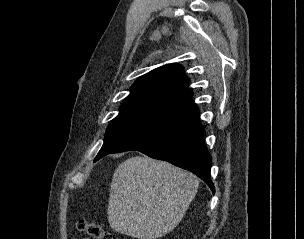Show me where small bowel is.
Listing matches in <instances>:
<instances>
[{
    "label": "small bowel",
    "mask_w": 304,
    "mask_h": 239,
    "mask_svg": "<svg viewBox=\"0 0 304 239\" xmlns=\"http://www.w3.org/2000/svg\"><path fill=\"white\" fill-rule=\"evenodd\" d=\"M73 239H78V238H73ZM82 239H86V238H82Z\"/></svg>",
    "instance_id": "c3829d8e"
}]
</instances>
